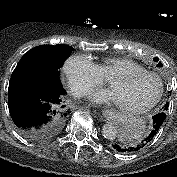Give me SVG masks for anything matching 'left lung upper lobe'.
<instances>
[{"instance_id":"1","label":"left lung upper lobe","mask_w":177,"mask_h":177,"mask_svg":"<svg viewBox=\"0 0 177 177\" xmlns=\"http://www.w3.org/2000/svg\"><path fill=\"white\" fill-rule=\"evenodd\" d=\"M168 106H169V104L166 103L165 106H164V111L168 109Z\"/></svg>"}]
</instances>
